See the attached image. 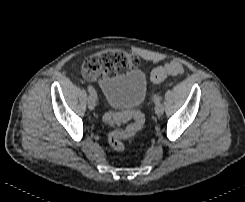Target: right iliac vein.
Returning a JSON list of instances; mask_svg holds the SVG:
<instances>
[{
    "instance_id": "obj_1",
    "label": "right iliac vein",
    "mask_w": 245,
    "mask_h": 202,
    "mask_svg": "<svg viewBox=\"0 0 245 202\" xmlns=\"http://www.w3.org/2000/svg\"><path fill=\"white\" fill-rule=\"evenodd\" d=\"M96 106V102H95V99L92 97V96H89L88 98V107L90 110H94Z\"/></svg>"
}]
</instances>
